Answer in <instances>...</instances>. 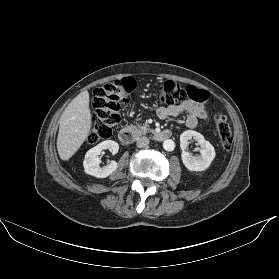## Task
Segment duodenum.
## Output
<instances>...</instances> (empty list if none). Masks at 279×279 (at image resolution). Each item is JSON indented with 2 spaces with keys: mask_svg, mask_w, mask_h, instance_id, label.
<instances>
[{
  "mask_svg": "<svg viewBox=\"0 0 279 279\" xmlns=\"http://www.w3.org/2000/svg\"><path fill=\"white\" fill-rule=\"evenodd\" d=\"M118 136H119V139L121 142H123L125 144H131L140 136V134L136 129L123 128L120 130ZM151 137L155 141L161 142V141L170 139L172 137V132L170 130H162V131L153 133L151 135Z\"/></svg>",
  "mask_w": 279,
  "mask_h": 279,
  "instance_id": "1",
  "label": "duodenum"
}]
</instances>
